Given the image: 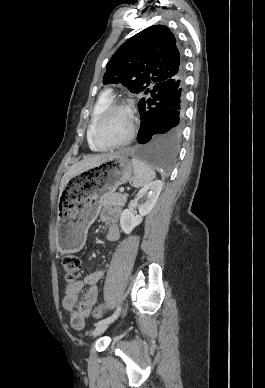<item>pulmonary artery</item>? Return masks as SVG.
Instances as JSON below:
<instances>
[{
	"instance_id": "e3ab8cb5",
	"label": "pulmonary artery",
	"mask_w": 265,
	"mask_h": 388,
	"mask_svg": "<svg viewBox=\"0 0 265 388\" xmlns=\"http://www.w3.org/2000/svg\"><path fill=\"white\" fill-rule=\"evenodd\" d=\"M105 87H106V88H109L110 86H109V85H106Z\"/></svg>"
}]
</instances>
